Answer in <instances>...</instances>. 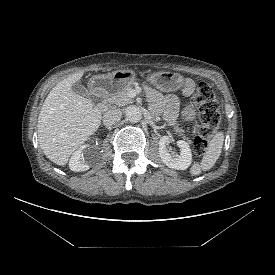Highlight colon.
I'll return each mask as SVG.
<instances>
[{"instance_id": "obj_1", "label": "colon", "mask_w": 275, "mask_h": 275, "mask_svg": "<svg viewBox=\"0 0 275 275\" xmlns=\"http://www.w3.org/2000/svg\"><path fill=\"white\" fill-rule=\"evenodd\" d=\"M195 100L199 108L201 123L194 139V151L197 155L203 156L209 140L218 129L221 114L215 93L208 83H199Z\"/></svg>"}]
</instances>
